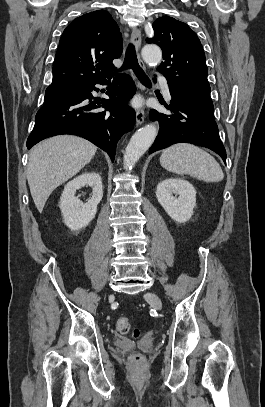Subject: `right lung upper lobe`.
<instances>
[{
    "mask_svg": "<svg viewBox=\"0 0 265 407\" xmlns=\"http://www.w3.org/2000/svg\"><path fill=\"white\" fill-rule=\"evenodd\" d=\"M122 49L121 33L109 12L97 10L76 18L61 36L51 85L81 86L108 76Z\"/></svg>",
    "mask_w": 265,
    "mask_h": 407,
    "instance_id": "right-lung-upper-lobe-1",
    "label": "right lung upper lobe"
}]
</instances>
